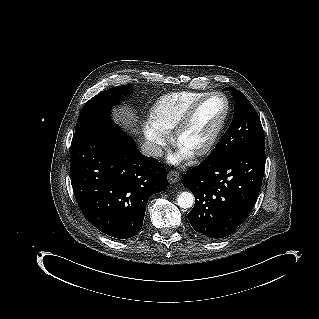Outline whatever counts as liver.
<instances>
[{
    "label": "liver",
    "mask_w": 319,
    "mask_h": 319,
    "mask_svg": "<svg viewBox=\"0 0 319 319\" xmlns=\"http://www.w3.org/2000/svg\"><path fill=\"white\" fill-rule=\"evenodd\" d=\"M133 116L129 111L121 109L116 113V121L121 122L124 128L131 127L133 125Z\"/></svg>",
    "instance_id": "1"
}]
</instances>
